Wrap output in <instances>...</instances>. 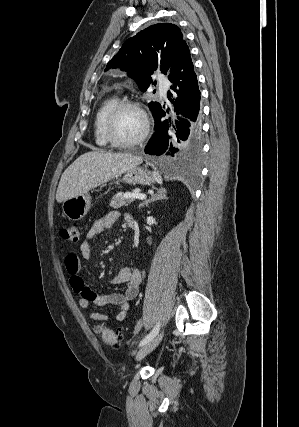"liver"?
<instances>
[{
  "instance_id": "6515ba94",
  "label": "liver",
  "mask_w": 299,
  "mask_h": 427,
  "mask_svg": "<svg viewBox=\"0 0 299 427\" xmlns=\"http://www.w3.org/2000/svg\"><path fill=\"white\" fill-rule=\"evenodd\" d=\"M142 157L90 151L79 156L62 174L56 200L61 203L106 183L141 164Z\"/></svg>"
}]
</instances>
